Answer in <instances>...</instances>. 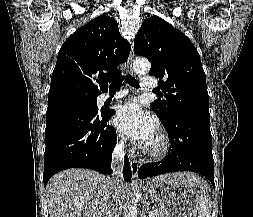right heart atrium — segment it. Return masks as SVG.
<instances>
[{
  "mask_svg": "<svg viewBox=\"0 0 253 217\" xmlns=\"http://www.w3.org/2000/svg\"><path fill=\"white\" fill-rule=\"evenodd\" d=\"M123 143H124V142H123V139H120V140H119V145H120V146H123Z\"/></svg>",
  "mask_w": 253,
  "mask_h": 217,
  "instance_id": "right-heart-atrium-1",
  "label": "right heart atrium"
}]
</instances>
